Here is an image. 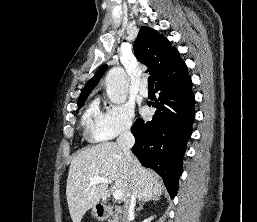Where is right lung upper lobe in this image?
Instances as JSON below:
<instances>
[{"mask_svg": "<svg viewBox=\"0 0 257 222\" xmlns=\"http://www.w3.org/2000/svg\"><path fill=\"white\" fill-rule=\"evenodd\" d=\"M134 51L138 60L148 66L149 73L154 76L156 83L187 73V66L181 59L179 51L154 29L146 26L141 28L134 43ZM106 69V65L100 67L94 77L86 83L78 104L87 99Z\"/></svg>", "mask_w": 257, "mask_h": 222, "instance_id": "cb5924a9", "label": "right lung upper lobe"}]
</instances>
